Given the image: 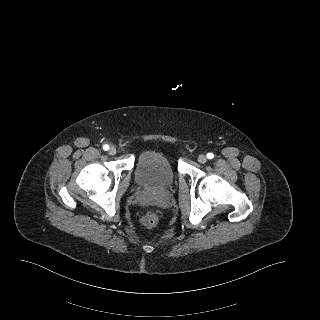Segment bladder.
Masks as SVG:
<instances>
[{"instance_id": "obj_1", "label": "bladder", "mask_w": 320, "mask_h": 320, "mask_svg": "<svg viewBox=\"0 0 320 320\" xmlns=\"http://www.w3.org/2000/svg\"><path fill=\"white\" fill-rule=\"evenodd\" d=\"M135 179L145 189L163 190L169 188L175 179L174 168L167 156L156 150L140 154Z\"/></svg>"}]
</instances>
